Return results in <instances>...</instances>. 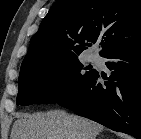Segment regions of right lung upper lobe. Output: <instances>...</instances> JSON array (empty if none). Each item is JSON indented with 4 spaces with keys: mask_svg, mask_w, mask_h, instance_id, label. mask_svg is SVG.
I'll return each instance as SVG.
<instances>
[{
    "mask_svg": "<svg viewBox=\"0 0 141 139\" xmlns=\"http://www.w3.org/2000/svg\"><path fill=\"white\" fill-rule=\"evenodd\" d=\"M141 39V0H61L42 20L21 70L74 58L100 41V56Z\"/></svg>",
    "mask_w": 141,
    "mask_h": 139,
    "instance_id": "1",
    "label": "right lung upper lobe"
}]
</instances>
